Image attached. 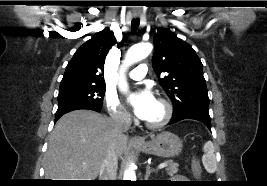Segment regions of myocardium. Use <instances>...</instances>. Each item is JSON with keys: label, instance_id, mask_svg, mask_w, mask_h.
<instances>
[{"label": "myocardium", "instance_id": "f54148a6", "mask_svg": "<svg viewBox=\"0 0 267 186\" xmlns=\"http://www.w3.org/2000/svg\"><path fill=\"white\" fill-rule=\"evenodd\" d=\"M157 102H159L160 105L163 107V115L160 120L156 122L145 121L144 125L149 129H159L164 127L166 124L169 123L173 116V106L166 98L159 97L157 99Z\"/></svg>", "mask_w": 267, "mask_h": 186}]
</instances>
